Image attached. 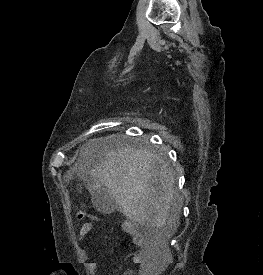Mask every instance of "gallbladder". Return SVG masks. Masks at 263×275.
I'll return each mask as SVG.
<instances>
[{
    "label": "gallbladder",
    "mask_w": 263,
    "mask_h": 275,
    "mask_svg": "<svg viewBox=\"0 0 263 275\" xmlns=\"http://www.w3.org/2000/svg\"><path fill=\"white\" fill-rule=\"evenodd\" d=\"M92 203L97 211L103 214H111L118 208L115 199L104 187L92 192Z\"/></svg>",
    "instance_id": "1"
}]
</instances>
